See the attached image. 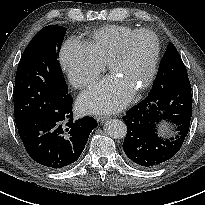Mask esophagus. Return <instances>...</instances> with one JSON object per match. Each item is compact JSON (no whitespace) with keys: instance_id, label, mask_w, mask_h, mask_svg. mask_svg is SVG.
<instances>
[{"instance_id":"obj_1","label":"esophagus","mask_w":205,"mask_h":205,"mask_svg":"<svg viewBox=\"0 0 205 205\" xmlns=\"http://www.w3.org/2000/svg\"><path fill=\"white\" fill-rule=\"evenodd\" d=\"M95 118H96V120H97L98 122H103V121H105V120L108 119V117H106V116H101V115H98V116H96Z\"/></svg>"}]
</instances>
